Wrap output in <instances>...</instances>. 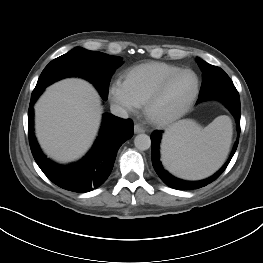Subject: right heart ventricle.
<instances>
[{
  "mask_svg": "<svg viewBox=\"0 0 263 263\" xmlns=\"http://www.w3.org/2000/svg\"><path fill=\"white\" fill-rule=\"evenodd\" d=\"M178 69L179 66L165 62L139 64L124 72L123 83L140 106L167 75Z\"/></svg>",
  "mask_w": 263,
  "mask_h": 263,
  "instance_id": "obj_1",
  "label": "right heart ventricle"
}]
</instances>
